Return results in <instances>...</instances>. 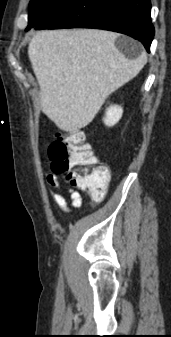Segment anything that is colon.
Masks as SVG:
<instances>
[{
	"label": "colon",
	"instance_id": "obj_1",
	"mask_svg": "<svg viewBox=\"0 0 171 337\" xmlns=\"http://www.w3.org/2000/svg\"><path fill=\"white\" fill-rule=\"evenodd\" d=\"M54 171L66 174L74 187L87 190L93 201H101L107 192L110 174L99 160L84 132H58L48 148ZM94 167L90 168V166Z\"/></svg>",
	"mask_w": 171,
	"mask_h": 337
}]
</instances>
